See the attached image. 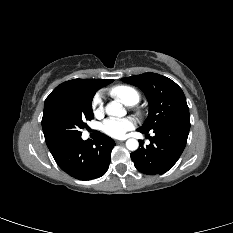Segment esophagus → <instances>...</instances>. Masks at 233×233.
Here are the masks:
<instances>
[{"label":"esophagus","instance_id":"34e87169","mask_svg":"<svg viewBox=\"0 0 233 233\" xmlns=\"http://www.w3.org/2000/svg\"><path fill=\"white\" fill-rule=\"evenodd\" d=\"M122 142H123V141H121V140H117V141H116L117 144H120V143H122Z\"/></svg>","mask_w":233,"mask_h":233}]
</instances>
